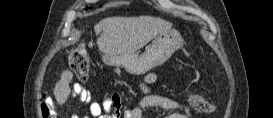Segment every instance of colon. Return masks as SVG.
I'll return each instance as SVG.
<instances>
[{
    "label": "colon",
    "mask_w": 273,
    "mask_h": 118,
    "mask_svg": "<svg viewBox=\"0 0 273 118\" xmlns=\"http://www.w3.org/2000/svg\"><path fill=\"white\" fill-rule=\"evenodd\" d=\"M70 66L76 76L82 80L86 81L89 78L90 67L89 61L86 55L85 44L81 43L77 45L71 52L70 55ZM46 99V96L43 97ZM192 104L194 109L198 112L210 113L214 110L215 106L212 102L201 99L196 94L191 96ZM42 116L43 118H53L54 115L50 109V106L44 102L42 104Z\"/></svg>",
    "instance_id": "obj_1"
}]
</instances>
